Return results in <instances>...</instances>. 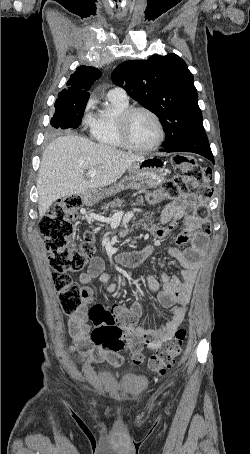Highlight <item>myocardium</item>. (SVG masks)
I'll use <instances>...</instances> for the list:
<instances>
[{"label": "myocardium", "instance_id": "1", "mask_svg": "<svg viewBox=\"0 0 250 454\" xmlns=\"http://www.w3.org/2000/svg\"><path fill=\"white\" fill-rule=\"evenodd\" d=\"M146 113L153 118L158 129V138L157 140L148 147H139L135 145L130 137L129 124L131 118L136 113ZM117 129L120 136V139L123 145L135 152L148 153L152 152L160 147L165 139V129L160 117L151 109L143 106L128 107L117 116Z\"/></svg>", "mask_w": 250, "mask_h": 454}]
</instances>
